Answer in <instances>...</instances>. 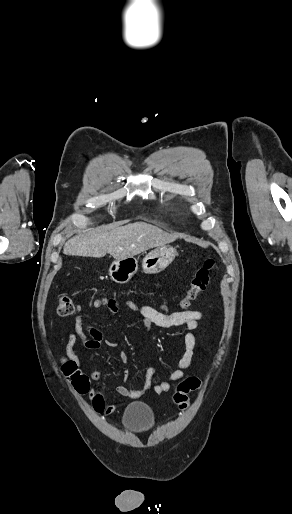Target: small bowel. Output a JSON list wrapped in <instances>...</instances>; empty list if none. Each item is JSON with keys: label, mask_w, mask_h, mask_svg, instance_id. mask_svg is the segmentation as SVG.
Segmentation results:
<instances>
[{"label": "small bowel", "mask_w": 292, "mask_h": 514, "mask_svg": "<svg viewBox=\"0 0 292 514\" xmlns=\"http://www.w3.org/2000/svg\"><path fill=\"white\" fill-rule=\"evenodd\" d=\"M126 305L132 313L139 315L140 324L147 332H150L155 326L165 329L185 327L189 331L184 334L185 351L183 356L179 360L177 368L169 374L167 380L154 384L153 378L156 374V370L154 368H148L145 373L143 386L140 389L131 390L124 385H118L116 387V391L123 398H137L150 389H152L156 394L168 392L171 388V383L181 380L185 376V371L193 364L195 351L198 347V341L191 331L198 328L202 314L197 310L164 314L139 300H128ZM103 306H106L111 313H116L118 310V302L115 298H109L107 300L102 298L93 299L92 307L94 309H101ZM78 339L81 340L84 346L90 350L100 348L102 343H104V345L109 349H115L118 347V343L116 341H104L102 333L96 327L85 323L82 316L77 315L75 318L74 332L68 334L65 344V353L67 357L73 361L72 365L74 367L80 365L74 350ZM119 360L122 364H126L129 361L128 353L121 351L119 354ZM87 375L94 381L101 379V373L99 371H89ZM128 377L129 372L127 370L123 371L122 379L127 380ZM106 409L108 410L106 412L108 417H111L117 412V409L111 404H108Z\"/></svg>", "instance_id": "obj_1"}]
</instances>
